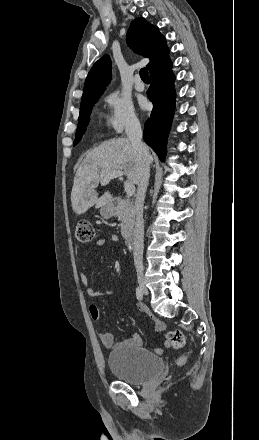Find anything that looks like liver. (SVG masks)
Masks as SVG:
<instances>
[{
	"mask_svg": "<svg viewBox=\"0 0 259 440\" xmlns=\"http://www.w3.org/2000/svg\"><path fill=\"white\" fill-rule=\"evenodd\" d=\"M148 159L153 157L148 148ZM114 171H122L133 183H138L139 157L128 138L111 139L92 149L77 169L71 192V203L77 215L89 208H101L112 201L109 191L98 197L99 182Z\"/></svg>",
	"mask_w": 259,
	"mask_h": 440,
	"instance_id": "1",
	"label": "liver"
}]
</instances>
